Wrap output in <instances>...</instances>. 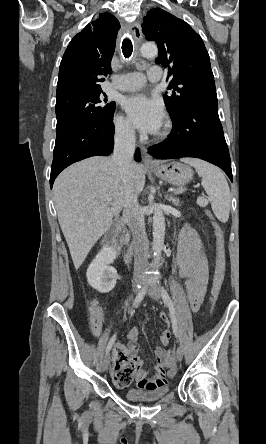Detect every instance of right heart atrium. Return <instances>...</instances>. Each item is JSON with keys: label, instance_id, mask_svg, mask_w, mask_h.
I'll return each instance as SVG.
<instances>
[{"label": "right heart atrium", "instance_id": "d8ad5b80", "mask_svg": "<svg viewBox=\"0 0 266 444\" xmlns=\"http://www.w3.org/2000/svg\"><path fill=\"white\" fill-rule=\"evenodd\" d=\"M116 135L121 139H131L134 136V128L131 122L123 115H117L114 119Z\"/></svg>", "mask_w": 266, "mask_h": 444}]
</instances>
